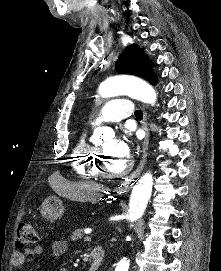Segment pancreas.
I'll use <instances>...</instances> for the list:
<instances>
[{"label":"pancreas","instance_id":"pancreas-1","mask_svg":"<svg viewBox=\"0 0 221 271\" xmlns=\"http://www.w3.org/2000/svg\"><path fill=\"white\" fill-rule=\"evenodd\" d=\"M82 235H84V233H82V229H75V231H73V237L70 238V241L71 242H81Z\"/></svg>","mask_w":221,"mask_h":271}]
</instances>
